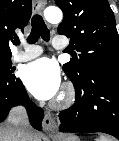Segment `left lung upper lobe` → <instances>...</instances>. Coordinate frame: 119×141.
Here are the masks:
<instances>
[{
  "label": "left lung upper lobe",
  "mask_w": 119,
  "mask_h": 141,
  "mask_svg": "<svg viewBox=\"0 0 119 141\" xmlns=\"http://www.w3.org/2000/svg\"><path fill=\"white\" fill-rule=\"evenodd\" d=\"M64 13L58 33L70 38L79 54L63 65L73 83L90 75L119 73L118 33L107 0H55Z\"/></svg>",
  "instance_id": "left-lung-upper-lobe-1"
}]
</instances>
